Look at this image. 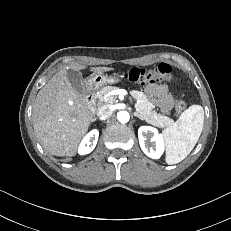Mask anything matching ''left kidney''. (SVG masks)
<instances>
[{
	"label": "left kidney",
	"instance_id": "5707ae66",
	"mask_svg": "<svg viewBox=\"0 0 231 231\" xmlns=\"http://www.w3.org/2000/svg\"><path fill=\"white\" fill-rule=\"evenodd\" d=\"M139 144L145 155L152 159H159L165 149V141L162 134L151 126H141L138 129Z\"/></svg>",
	"mask_w": 231,
	"mask_h": 231
}]
</instances>
